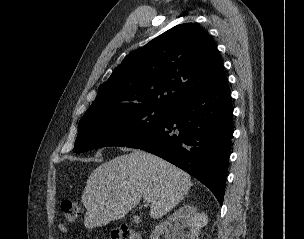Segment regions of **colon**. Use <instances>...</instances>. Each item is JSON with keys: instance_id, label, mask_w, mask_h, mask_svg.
Listing matches in <instances>:
<instances>
[{"instance_id": "1", "label": "colon", "mask_w": 304, "mask_h": 239, "mask_svg": "<svg viewBox=\"0 0 304 239\" xmlns=\"http://www.w3.org/2000/svg\"><path fill=\"white\" fill-rule=\"evenodd\" d=\"M61 210L68 222L78 221L82 215V206L79 202L71 199L61 201ZM111 239H143L142 234L127 225L119 226L111 231Z\"/></svg>"}]
</instances>
